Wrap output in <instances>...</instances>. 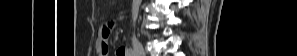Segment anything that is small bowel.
Masks as SVG:
<instances>
[{
    "instance_id": "1",
    "label": "small bowel",
    "mask_w": 297,
    "mask_h": 56,
    "mask_svg": "<svg viewBox=\"0 0 297 56\" xmlns=\"http://www.w3.org/2000/svg\"><path fill=\"white\" fill-rule=\"evenodd\" d=\"M113 24H107L100 30L98 40L96 42V51L99 56H107L109 53L108 38ZM127 55L126 50L120 48L117 50V56Z\"/></svg>"
}]
</instances>
